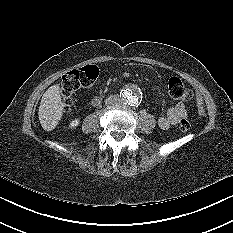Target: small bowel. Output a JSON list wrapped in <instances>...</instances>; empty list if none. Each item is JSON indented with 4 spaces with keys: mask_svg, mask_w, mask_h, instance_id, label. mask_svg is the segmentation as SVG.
I'll return each instance as SVG.
<instances>
[{
    "mask_svg": "<svg viewBox=\"0 0 233 233\" xmlns=\"http://www.w3.org/2000/svg\"><path fill=\"white\" fill-rule=\"evenodd\" d=\"M186 117V107L182 102H179L175 106L169 108L164 115L160 116L157 123L161 129H168L177 125L181 119Z\"/></svg>",
    "mask_w": 233,
    "mask_h": 233,
    "instance_id": "c3829d8e",
    "label": "small bowel"
}]
</instances>
